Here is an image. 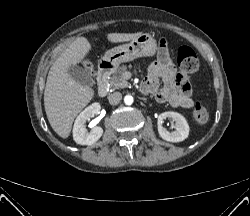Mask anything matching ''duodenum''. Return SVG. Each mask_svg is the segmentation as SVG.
<instances>
[{
    "label": "duodenum",
    "instance_id": "1",
    "mask_svg": "<svg viewBox=\"0 0 250 216\" xmlns=\"http://www.w3.org/2000/svg\"><path fill=\"white\" fill-rule=\"evenodd\" d=\"M112 69V64L108 61H103L100 63L97 71V81H98V92L101 97L107 95L108 86V76Z\"/></svg>",
    "mask_w": 250,
    "mask_h": 216
}]
</instances>
